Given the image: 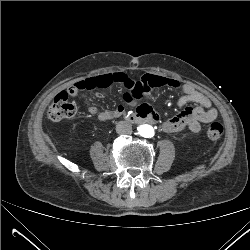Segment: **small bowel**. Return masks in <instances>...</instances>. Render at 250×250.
Returning <instances> with one entry per match:
<instances>
[{
	"label": "small bowel",
	"mask_w": 250,
	"mask_h": 250,
	"mask_svg": "<svg viewBox=\"0 0 250 250\" xmlns=\"http://www.w3.org/2000/svg\"><path fill=\"white\" fill-rule=\"evenodd\" d=\"M162 78L165 80L164 85L179 88L183 92L178 100V105L183 107V109L179 114L164 122L162 126L164 132L174 133L188 128L196 133L201 130L202 123H211L217 118V110L205 94L190 84H184L175 79ZM140 81H129L130 91L126 93L128 101H134L141 96L140 91L136 88ZM76 95L77 93L72 94V96ZM97 95L101 97L100 93ZM190 104H195V106H190ZM122 108V106L118 107V109ZM90 113L96 115L97 109L94 107L90 108Z\"/></svg>",
	"instance_id": "small-bowel-1"
}]
</instances>
